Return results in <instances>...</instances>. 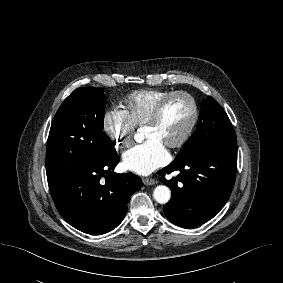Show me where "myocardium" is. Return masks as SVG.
<instances>
[{
	"mask_svg": "<svg viewBox=\"0 0 283 283\" xmlns=\"http://www.w3.org/2000/svg\"><path fill=\"white\" fill-rule=\"evenodd\" d=\"M176 97L186 98L190 102L191 107H192V116L182 136L178 140L166 144V146L169 148H180L183 145H185L191 138L197 126V123L199 121V117H200L199 105L195 97L189 92L183 91V90L173 91L169 93L157 103L151 115L149 116L147 121L144 123V126L156 125L161 119V116L167 104Z\"/></svg>",
	"mask_w": 283,
	"mask_h": 283,
	"instance_id": "f54148a6",
	"label": "myocardium"
}]
</instances>
